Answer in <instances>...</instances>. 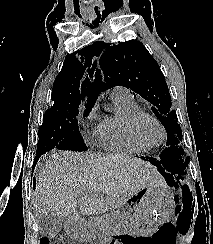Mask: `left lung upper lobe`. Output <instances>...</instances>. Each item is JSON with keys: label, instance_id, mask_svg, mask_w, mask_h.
Masks as SVG:
<instances>
[{"label": "left lung upper lobe", "instance_id": "left-lung-upper-lobe-1", "mask_svg": "<svg viewBox=\"0 0 213 244\" xmlns=\"http://www.w3.org/2000/svg\"><path fill=\"white\" fill-rule=\"evenodd\" d=\"M104 47L99 60L101 70H97L101 82L100 72H103V88L124 86L154 106L152 111L167 132L168 147L163 152H167L171 158L174 176L184 181L188 159L183 158L184 150L178 146L182 131L176 112L171 110L170 92L158 63L145 46L136 40L117 45L106 44Z\"/></svg>", "mask_w": 213, "mask_h": 244}]
</instances>
